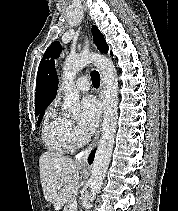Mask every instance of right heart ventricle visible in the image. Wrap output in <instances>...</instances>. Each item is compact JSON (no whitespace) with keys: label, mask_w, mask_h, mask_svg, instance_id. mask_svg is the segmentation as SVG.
I'll list each match as a JSON object with an SVG mask.
<instances>
[{"label":"right heart ventricle","mask_w":178,"mask_h":211,"mask_svg":"<svg viewBox=\"0 0 178 211\" xmlns=\"http://www.w3.org/2000/svg\"><path fill=\"white\" fill-rule=\"evenodd\" d=\"M69 121L55 108H52L42 127V138L47 148L53 152L65 153L73 148L68 134Z\"/></svg>","instance_id":"e07e8e85"}]
</instances>
